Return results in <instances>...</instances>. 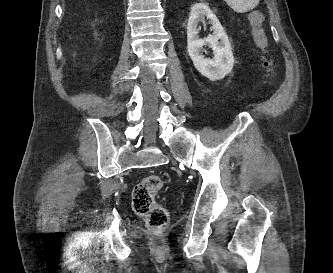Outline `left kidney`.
Segmentation results:
<instances>
[{
    "instance_id": "left-kidney-1",
    "label": "left kidney",
    "mask_w": 333,
    "mask_h": 273,
    "mask_svg": "<svg viewBox=\"0 0 333 273\" xmlns=\"http://www.w3.org/2000/svg\"><path fill=\"white\" fill-rule=\"evenodd\" d=\"M203 17H207L212 24L213 34L201 39L197 25ZM206 44L213 49L212 59L201 54ZM187 49L195 68L211 81L224 78L233 69L234 57L229 38L216 15L204 2L195 3L191 8L187 24Z\"/></svg>"
}]
</instances>
